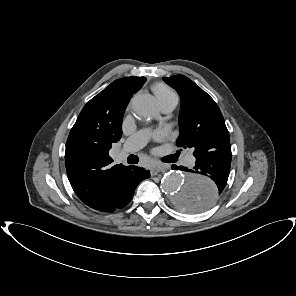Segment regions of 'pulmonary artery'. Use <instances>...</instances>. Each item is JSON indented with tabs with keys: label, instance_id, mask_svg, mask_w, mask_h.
Returning <instances> with one entry per match:
<instances>
[{
	"label": "pulmonary artery",
	"instance_id": "pulmonary-artery-1",
	"mask_svg": "<svg viewBox=\"0 0 296 296\" xmlns=\"http://www.w3.org/2000/svg\"><path fill=\"white\" fill-rule=\"evenodd\" d=\"M178 103L177 97L170 98L168 100L160 102V108L163 113H169L173 111ZM150 132L147 129H143L133 133L130 137L125 141L122 150L121 156L124 157L128 153L135 152L142 147H144L149 139ZM196 161L195 156L190 151L185 155L184 163L185 165L192 166Z\"/></svg>",
	"mask_w": 296,
	"mask_h": 296
}]
</instances>
